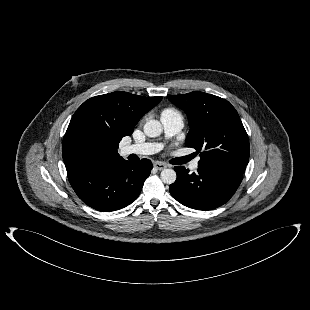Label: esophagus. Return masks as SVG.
I'll return each mask as SVG.
<instances>
[{"label": "esophagus", "instance_id": "esophagus-1", "mask_svg": "<svg viewBox=\"0 0 310 310\" xmlns=\"http://www.w3.org/2000/svg\"><path fill=\"white\" fill-rule=\"evenodd\" d=\"M154 168H156L157 170H163V169L167 168V165L164 163H161V162H155Z\"/></svg>", "mask_w": 310, "mask_h": 310}]
</instances>
